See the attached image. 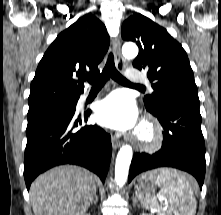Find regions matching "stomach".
<instances>
[{"label":"stomach","instance_id":"obj_1","mask_svg":"<svg viewBox=\"0 0 221 215\" xmlns=\"http://www.w3.org/2000/svg\"><path fill=\"white\" fill-rule=\"evenodd\" d=\"M162 170L164 169L148 172L140 176V178L138 179V184L136 186L137 189L143 191L146 194L152 192L154 190V187L158 185L156 179L160 175Z\"/></svg>","mask_w":221,"mask_h":215}]
</instances>
